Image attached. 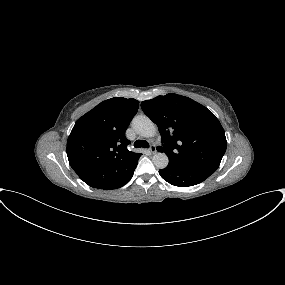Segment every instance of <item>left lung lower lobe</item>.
<instances>
[{
  "instance_id": "1",
  "label": "left lung lower lobe",
  "mask_w": 285,
  "mask_h": 285,
  "mask_svg": "<svg viewBox=\"0 0 285 285\" xmlns=\"http://www.w3.org/2000/svg\"><path fill=\"white\" fill-rule=\"evenodd\" d=\"M159 174L174 186L189 187L203 182L212 173L202 169L168 165L165 169L159 170Z\"/></svg>"
}]
</instances>
